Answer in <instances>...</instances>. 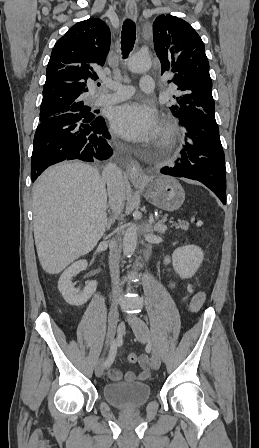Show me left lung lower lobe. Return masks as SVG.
<instances>
[{
	"label": "left lung lower lobe",
	"instance_id": "obj_1",
	"mask_svg": "<svg viewBox=\"0 0 259 448\" xmlns=\"http://www.w3.org/2000/svg\"><path fill=\"white\" fill-rule=\"evenodd\" d=\"M178 118L187 130L181 158L161 173L200 181L226 204L225 158L214 113L191 108Z\"/></svg>",
	"mask_w": 259,
	"mask_h": 448
}]
</instances>
